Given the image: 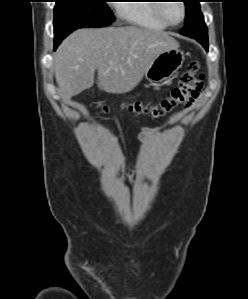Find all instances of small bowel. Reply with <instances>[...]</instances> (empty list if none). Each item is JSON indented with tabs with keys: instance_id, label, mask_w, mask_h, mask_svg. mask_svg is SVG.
Returning a JSON list of instances; mask_svg holds the SVG:
<instances>
[{
	"instance_id": "1",
	"label": "small bowel",
	"mask_w": 248,
	"mask_h": 299,
	"mask_svg": "<svg viewBox=\"0 0 248 299\" xmlns=\"http://www.w3.org/2000/svg\"><path fill=\"white\" fill-rule=\"evenodd\" d=\"M162 133L159 127H144L138 133V137L147 144L153 143Z\"/></svg>"
}]
</instances>
